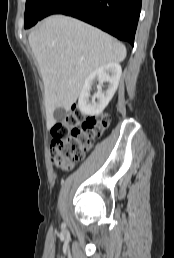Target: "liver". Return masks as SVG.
Wrapping results in <instances>:
<instances>
[{
    "instance_id": "6515ba94",
    "label": "liver",
    "mask_w": 174,
    "mask_h": 258,
    "mask_svg": "<svg viewBox=\"0 0 174 258\" xmlns=\"http://www.w3.org/2000/svg\"><path fill=\"white\" fill-rule=\"evenodd\" d=\"M28 40L44 83L48 128L56 122L55 109L62 107L68 111L94 70L108 63H119L126 57L122 43L64 15L44 19Z\"/></svg>"
}]
</instances>
